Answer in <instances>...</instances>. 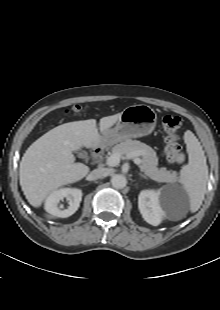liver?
<instances>
[{
  "label": "liver",
  "mask_w": 220,
  "mask_h": 310,
  "mask_svg": "<svg viewBox=\"0 0 220 310\" xmlns=\"http://www.w3.org/2000/svg\"><path fill=\"white\" fill-rule=\"evenodd\" d=\"M121 113L100 119V131L109 130ZM95 119L59 125L37 139L20 162L21 189L33 207H40L46 197L59 187L83 179L89 167L75 163L73 151L94 148L102 142Z\"/></svg>",
  "instance_id": "obj_1"
}]
</instances>
